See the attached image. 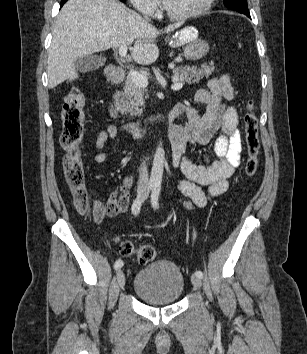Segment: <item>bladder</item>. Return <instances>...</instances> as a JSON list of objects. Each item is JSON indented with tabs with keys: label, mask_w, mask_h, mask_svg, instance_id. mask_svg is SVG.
<instances>
[{
	"label": "bladder",
	"mask_w": 307,
	"mask_h": 354,
	"mask_svg": "<svg viewBox=\"0 0 307 354\" xmlns=\"http://www.w3.org/2000/svg\"><path fill=\"white\" fill-rule=\"evenodd\" d=\"M184 285V276L175 263L158 260L136 273L133 289L148 304L169 305L180 299Z\"/></svg>",
	"instance_id": "1"
}]
</instances>
